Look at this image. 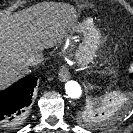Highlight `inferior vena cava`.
<instances>
[{
  "label": "inferior vena cava",
  "instance_id": "602c4592",
  "mask_svg": "<svg viewBox=\"0 0 133 133\" xmlns=\"http://www.w3.org/2000/svg\"><path fill=\"white\" fill-rule=\"evenodd\" d=\"M45 60L44 58V54L42 51H39L37 53H34L33 55H31L28 59H27V63L29 66H35L38 65L40 63H43Z\"/></svg>",
  "mask_w": 133,
  "mask_h": 133
}]
</instances>
